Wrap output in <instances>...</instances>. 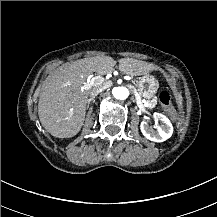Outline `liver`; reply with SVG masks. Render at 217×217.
<instances>
[{"instance_id": "liver-1", "label": "liver", "mask_w": 217, "mask_h": 217, "mask_svg": "<svg viewBox=\"0 0 217 217\" xmlns=\"http://www.w3.org/2000/svg\"><path fill=\"white\" fill-rule=\"evenodd\" d=\"M129 76H142L160 70L159 66L133 58L114 60L94 56L68 63L47 77L38 101V118L43 128L56 138H72L84 124L87 98L91 84L88 77L96 72L106 75L113 67Z\"/></svg>"}]
</instances>
